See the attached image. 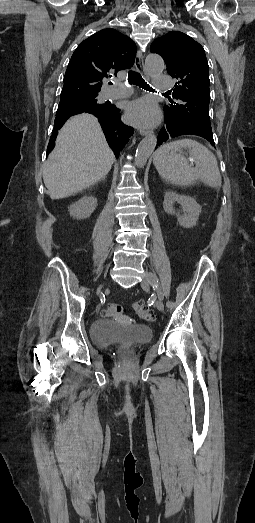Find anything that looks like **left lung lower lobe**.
<instances>
[{
    "label": "left lung lower lobe",
    "instance_id": "obj_1",
    "mask_svg": "<svg viewBox=\"0 0 255 523\" xmlns=\"http://www.w3.org/2000/svg\"><path fill=\"white\" fill-rule=\"evenodd\" d=\"M169 120V118H166V122ZM211 130H204V127H200V125H196L194 123H188V121H179V120H170V123L168 125H163V128H159L157 130V133L159 134V137H156L157 144L159 146L164 145V140H168V137H180V135H190L192 134L194 137H204V140H209L208 144L210 146L216 145V140H214V137H216V134H210Z\"/></svg>",
    "mask_w": 255,
    "mask_h": 523
}]
</instances>
